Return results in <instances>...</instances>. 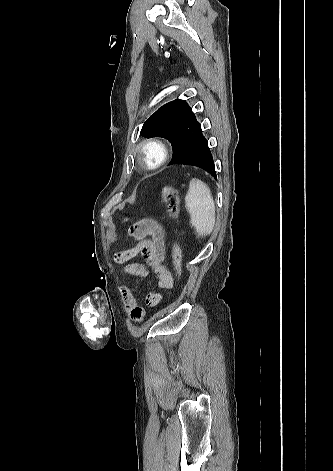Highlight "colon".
Wrapping results in <instances>:
<instances>
[{
    "label": "colon",
    "mask_w": 333,
    "mask_h": 471,
    "mask_svg": "<svg viewBox=\"0 0 333 471\" xmlns=\"http://www.w3.org/2000/svg\"><path fill=\"white\" fill-rule=\"evenodd\" d=\"M161 196L166 205L169 216L173 219H178L180 216V199L177 190L170 185H165L161 189ZM182 258V246L180 241L177 239L173 245L172 259L178 280H180L182 276Z\"/></svg>",
    "instance_id": "colon-1"
}]
</instances>
